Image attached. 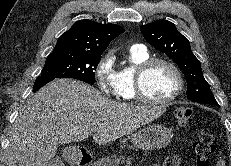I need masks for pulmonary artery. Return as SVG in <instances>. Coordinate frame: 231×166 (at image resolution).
I'll return each mask as SVG.
<instances>
[{
	"label": "pulmonary artery",
	"instance_id": "e3ab8cb5",
	"mask_svg": "<svg viewBox=\"0 0 231 166\" xmlns=\"http://www.w3.org/2000/svg\"><path fill=\"white\" fill-rule=\"evenodd\" d=\"M133 47L146 50V48L142 44H135V45H133Z\"/></svg>",
	"mask_w": 231,
	"mask_h": 166
}]
</instances>
